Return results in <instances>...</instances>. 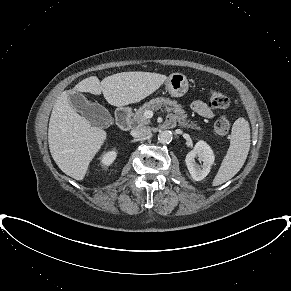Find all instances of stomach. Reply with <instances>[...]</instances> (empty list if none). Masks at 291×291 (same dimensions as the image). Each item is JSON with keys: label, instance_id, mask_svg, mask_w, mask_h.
I'll return each mask as SVG.
<instances>
[{"label": "stomach", "instance_id": "0dacf381", "mask_svg": "<svg viewBox=\"0 0 291 291\" xmlns=\"http://www.w3.org/2000/svg\"><path fill=\"white\" fill-rule=\"evenodd\" d=\"M165 86L172 97H182L187 93L189 83L182 73H173L166 79Z\"/></svg>", "mask_w": 291, "mask_h": 291}]
</instances>
